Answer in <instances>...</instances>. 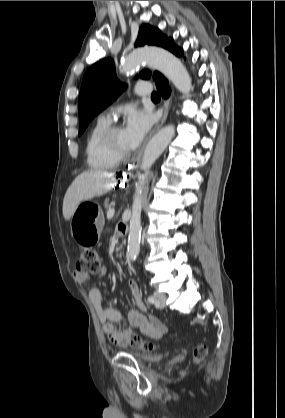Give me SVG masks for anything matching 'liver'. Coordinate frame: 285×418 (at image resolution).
Segmentation results:
<instances>
[{"mask_svg":"<svg viewBox=\"0 0 285 418\" xmlns=\"http://www.w3.org/2000/svg\"><path fill=\"white\" fill-rule=\"evenodd\" d=\"M114 182V174L104 170L91 169L78 175L64 196L62 212L65 220L71 219L82 201L106 194Z\"/></svg>","mask_w":285,"mask_h":418,"instance_id":"liver-1","label":"liver"}]
</instances>
